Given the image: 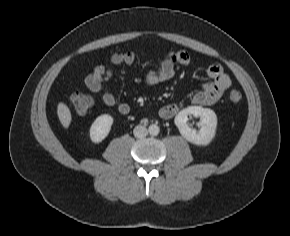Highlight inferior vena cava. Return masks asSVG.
<instances>
[{
  "label": "inferior vena cava",
  "mask_w": 290,
  "mask_h": 236,
  "mask_svg": "<svg viewBox=\"0 0 290 236\" xmlns=\"http://www.w3.org/2000/svg\"><path fill=\"white\" fill-rule=\"evenodd\" d=\"M134 136L137 138H143L148 134V130L145 126L138 125L133 130Z\"/></svg>",
  "instance_id": "1"
}]
</instances>
